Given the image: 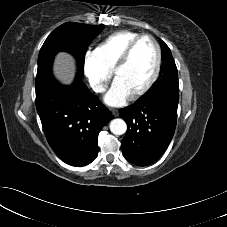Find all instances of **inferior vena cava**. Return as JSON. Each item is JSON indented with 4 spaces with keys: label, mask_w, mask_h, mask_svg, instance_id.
<instances>
[{
    "label": "inferior vena cava",
    "mask_w": 227,
    "mask_h": 227,
    "mask_svg": "<svg viewBox=\"0 0 227 227\" xmlns=\"http://www.w3.org/2000/svg\"><path fill=\"white\" fill-rule=\"evenodd\" d=\"M92 89L97 93H101L106 90L104 85L98 83L93 84Z\"/></svg>",
    "instance_id": "inferior-vena-cava-1"
}]
</instances>
